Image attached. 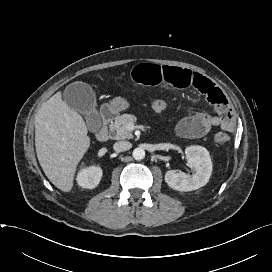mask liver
I'll list each match as a JSON object with an SVG mask.
<instances>
[{
    "label": "liver",
    "mask_w": 272,
    "mask_h": 272,
    "mask_svg": "<svg viewBox=\"0 0 272 272\" xmlns=\"http://www.w3.org/2000/svg\"><path fill=\"white\" fill-rule=\"evenodd\" d=\"M88 128L82 116L62 99L50 97L35 118V146L38 161L52 184L71 191L77 165L90 147Z\"/></svg>",
    "instance_id": "6515ba94"
}]
</instances>
